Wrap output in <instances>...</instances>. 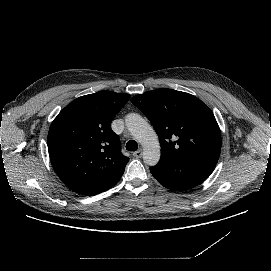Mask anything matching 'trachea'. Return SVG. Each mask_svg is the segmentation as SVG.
Masks as SVG:
<instances>
[{"mask_svg":"<svg viewBox=\"0 0 271 271\" xmlns=\"http://www.w3.org/2000/svg\"><path fill=\"white\" fill-rule=\"evenodd\" d=\"M137 148H138V144H137V142L135 140H130L126 144V149L128 151H136Z\"/></svg>","mask_w":271,"mask_h":271,"instance_id":"3493384b","label":"trachea"}]
</instances>
